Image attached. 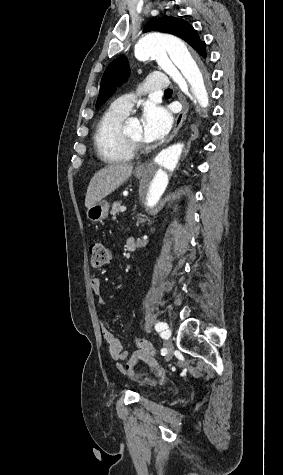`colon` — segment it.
Instances as JSON below:
<instances>
[{
  "label": "colon",
  "mask_w": 283,
  "mask_h": 475,
  "mask_svg": "<svg viewBox=\"0 0 283 475\" xmlns=\"http://www.w3.org/2000/svg\"><path fill=\"white\" fill-rule=\"evenodd\" d=\"M109 253L102 243L95 242L91 245V265L94 268L102 267L108 262ZM134 342L138 350L130 356L132 363H145L154 365L158 362V354L151 344L141 336H135Z\"/></svg>",
  "instance_id": "obj_1"
}]
</instances>
